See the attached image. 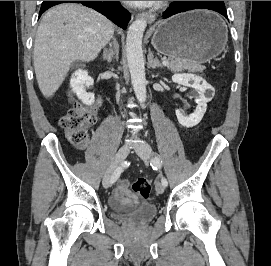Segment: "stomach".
Returning <instances> with one entry per match:
<instances>
[{"instance_id": "1", "label": "stomach", "mask_w": 271, "mask_h": 266, "mask_svg": "<svg viewBox=\"0 0 271 266\" xmlns=\"http://www.w3.org/2000/svg\"><path fill=\"white\" fill-rule=\"evenodd\" d=\"M227 43V28L210 11L195 10L158 22L151 44L171 59L202 64L218 56Z\"/></svg>"}]
</instances>
